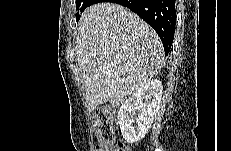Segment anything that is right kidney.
<instances>
[{"instance_id": "ca27d5eb", "label": "right kidney", "mask_w": 231, "mask_h": 151, "mask_svg": "<svg viewBox=\"0 0 231 151\" xmlns=\"http://www.w3.org/2000/svg\"><path fill=\"white\" fill-rule=\"evenodd\" d=\"M162 90L160 80H150L124 101L118 112V118L121 134L126 142L132 144L145 137L159 109ZM136 110L139 113L134 120Z\"/></svg>"}]
</instances>
